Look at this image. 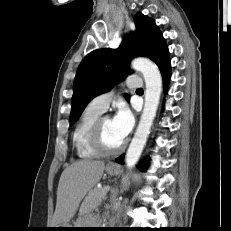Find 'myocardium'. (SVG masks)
<instances>
[{
  "label": "myocardium",
  "instance_id": "obj_1",
  "mask_svg": "<svg viewBox=\"0 0 231 231\" xmlns=\"http://www.w3.org/2000/svg\"><path fill=\"white\" fill-rule=\"evenodd\" d=\"M107 117H99L95 124L93 125L90 133V142L92 147L102 155H113L122 151L126 146V141L124 140L119 146L114 148H109L104 144L102 135V125L103 121Z\"/></svg>",
  "mask_w": 231,
  "mask_h": 231
}]
</instances>
